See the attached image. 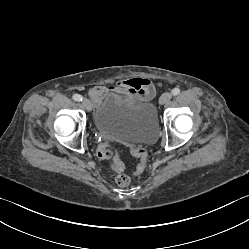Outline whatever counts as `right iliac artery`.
I'll return each mask as SVG.
<instances>
[{"instance_id": "1", "label": "right iliac artery", "mask_w": 249, "mask_h": 249, "mask_svg": "<svg viewBox=\"0 0 249 249\" xmlns=\"http://www.w3.org/2000/svg\"><path fill=\"white\" fill-rule=\"evenodd\" d=\"M73 99L75 100V101H78V102H80V101H82V96L81 95H79V94H74L73 95Z\"/></svg>"}]
</instances>
